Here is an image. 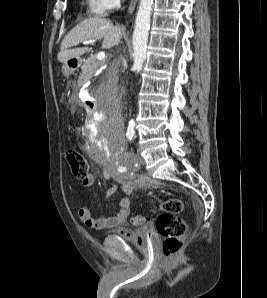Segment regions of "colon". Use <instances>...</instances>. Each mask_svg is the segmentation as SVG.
Listing matches in <instances>:
<instances>
[{
  "instance_id": "obj_1",
  "label": "colon",
  "mask_w": 267,
  "mask_h": 298,
  "mask_svg": "<svg viewBox=\"0 0 267 298\" xmlns=\"http://www.w3.org/2000/svg\"><path fill=\"white\" fill-rule=\"evenodd\" d=\"M67 163L73 175L84 182L89 177V167L86 159L81 153L74 149L66 152ZM184 209V203L180 198H170L162 202L156 219V228L163 238V254L166 258L177 255L184 245L186 222L180 216ZM145 223L143 216L137 215L131 218L133 226H140Z\"/></svg>"
}]
</instances>
